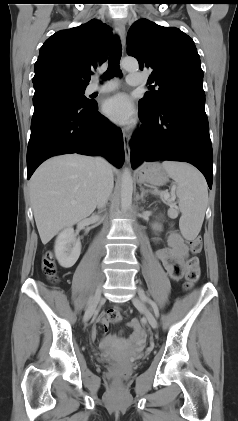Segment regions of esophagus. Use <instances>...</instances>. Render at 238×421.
<instances>
[{
	"label": "esophagus",
	"mask_w": 238,
	"mask_h": 421,
	"mask_svg": "<svg viewBox=\"0 0 238 421\" xmlns=\"http://www.w3.org/2000/svg\"><path fill=\"white\" fill-rule=\"evenodd\" d=\"M114 28L115 32L119 36L122 45H125V37H126V31H125V25L122 20H115L114 21ZM123 143H124V151H125V159L127 163L130 162V155H131V149H130V135L127 132H123Z\"/></svg>",
	"instance_id": "obj_1"
}]
</instances>
